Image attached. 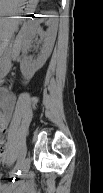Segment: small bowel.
Segmentation results:
<instances>
[{
    "mask_svg": "<svg viewBox=\"0 0 103 193\" xmlns=\"http://www.w3.org/2000/svg\"><path fill=\"white\" fill-rule=\"evenodd\" d=\"M1 97V108L3 112L1 126L3 133H5L8 126V119L16 106V98L13 94L6 91L2 93ZM11 180L12 182L10 184L3 185V193H35L34 182L31 178H21L17 174H12Z\"/></svg>",
    "mask_w": 103,
    "mask_h": 193,
    "instance_id": "c3829d8e",
    "label": "small bowel"
}]
</instances>
